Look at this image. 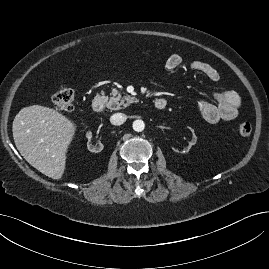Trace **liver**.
I'll return each mask as SVG.
<instances>
[{"label":"liver","mask_w":269,"mask_h":269,"mask_svg":"<svg viewBox=\"0 0 269 269\" xmlns=\"http://www.w3.org/2000/svg\"><path fill=\"white\" fill-rule=\"evenodd\" d=\"M76 125L57 110L41 105L22 108L13 120L15 145L23 158L52 179H61Z\"/></svg>","instance_id":"liver-1"}]
</instances>
